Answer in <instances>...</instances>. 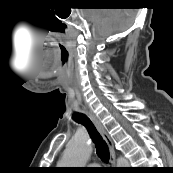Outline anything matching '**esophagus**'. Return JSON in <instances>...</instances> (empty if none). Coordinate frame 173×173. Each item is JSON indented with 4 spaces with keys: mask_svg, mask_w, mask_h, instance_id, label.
Wrapping results in <instances>:
<instances>
[{
    "mask_svg": "<svg viewBox=\"0 0 173 173\" xmlns=\"http://www.w3.org/2000/svg\"><path fill=\"white\" fill-rule=\"evenodd\" d=\"M86 114L90 117V119L96 126L97 130L99 131V133L102 135V137L106 141V143L109 147V150H110V163L112 166H115L116 165V153H115V149H114V143H113L111 137L109 136L108 132L106 131L104 126L101 124V122L92 113L86 111Z\"/></svg>",
    "mask_w": 173,
    "mask_h": 173,
    "instance_id": "esophagus-1",
    "label": "esophagus"
}]
</instances>
